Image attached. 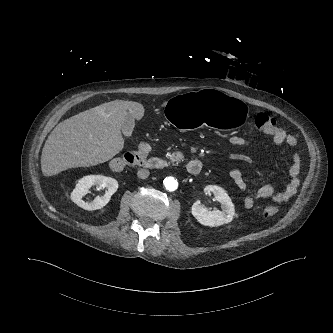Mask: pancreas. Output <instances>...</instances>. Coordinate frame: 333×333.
Wrapping results in <instances>:
<instances>
[{
    "label": "pancreas",
    "instance_id": "1",
    "mask_svg": "<svg viewBox=\"0 0 333 333\" xmlns=\"http://www.w3.org/2000/svg\"><path fill=\"white\" fill-rule=\"evenodd\" d=\"M166 157L169 158L172 163L176 162V164L184 159V156L181 152L167 153Z\"/></svg>",
    "mask_w": 333,
    "mask_h": 333
}]
</instances>
